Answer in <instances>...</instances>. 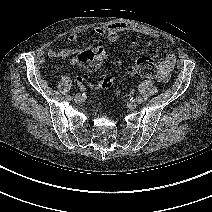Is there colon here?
<instances>
[{"label": "colon", "mask_w": 212, "mask_h": 212, "mask_svg": "<svg viewBox=\"0 0 212 212\" xmlns=\"http://www.w3.org/2000/svg\"><path fill=\"white\" fill-rule=\"evenodd\" d=\"M106 58L105 49L101 46L91 48L78 56L76 62L84 66L89 71L99 69ZM129 75L139 76L143 78H159L161 75V63H157L153 58L143 56L137 58L127 70ZM113 84L111 76H105L102 79L101 87L108 89Z\"/></svg>", "instance_id": "5ec220e1"}]
</instances>
